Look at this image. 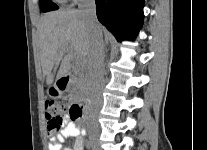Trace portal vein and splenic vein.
Instances as JSON below:
<instances>
[{"mask_svg":"<svg viewBox=\"0 0 207 150\" xmlns=\"http://www.w3.org/2000/svg\"><path fill=\"white\" fill-rule=\"evenodd\" d=\"M77 64H78L79 66H84V62H83L82 60H77Z\"/></svg>","mask_w":207,"mask_h":150,"instance_id":"obj_1","label":"portal vein and splenic vein"}]
</instances>
